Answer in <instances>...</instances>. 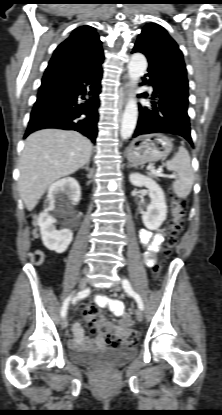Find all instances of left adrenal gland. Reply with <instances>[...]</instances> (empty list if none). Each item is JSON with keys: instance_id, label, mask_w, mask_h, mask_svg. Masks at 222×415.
Returning a JSON list of instances; mask_svg holds the SVG:
<instances>
[{"instance_id": "1", "label": "left adrenal gland", "mask_w": 222, "mask_h": 415, "mask_svg": "<svg viewBox=\"0 0 222 415\" xmlns=\"http://www.w3.org/2000/svg\"><path fill=\"white\" fill-rule=\"evenodd\" d=\"M128 167H133V165L132 164H128Z\"/></svg>"}]
</instances>
